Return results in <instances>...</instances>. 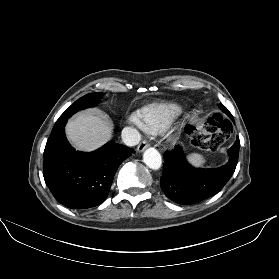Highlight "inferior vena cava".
Returning a JSON list of instances; mask_svg holds the SVG:
<instances>
[{
  "mask_svg": "<svg viewBox=\"0 0 279 279\" xmlns=\"http://www.w3.org/2000/svg\"><path fill=\"white\" fill-rule=\"evenodd\" d=\"M122 140L127 146H135L137 145L141 140L140 133L135 129L131 127H125L122 130Z\"/></svg>",
  "mask_w": 279,
  "mask_h": 279,
  "instance_id": "1",
  "label": "inferior vena cava"
}]
</instances>
